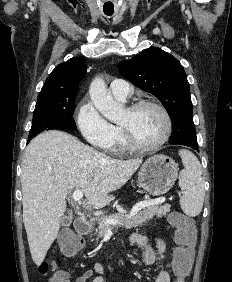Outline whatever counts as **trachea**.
Wrapping results in <instances>:
<instances>
[{
	"instance_id": "obj_1",
	"label": "trachea",
	"mask_w": 232,
	"mask_h": 282,
	"mask_svg": "<svg viewBox=\"0 0 232 282\" xmlns=\"http://www.w3.org/2000/svg\"><path fill=\"white\" fill-rule=\"evenodd\" d=\"M106 15H107V16H111V15H112V13H106Z\"/></svg>"
}]
</instances>
